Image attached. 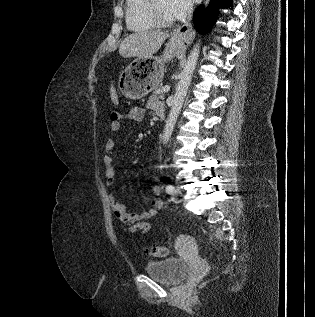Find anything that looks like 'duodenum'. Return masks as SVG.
Returning a JSON list of instances; mask_svg holds the SVG:
<instances>
[{
	"mask_svg": "<svg viewBox=\"0 0 315 317\" xmlns=\"http://www.w3.org/2000/svg\"><path fill=\"white\" fill-rule=\"evenodd\" d=\"M158 116L161 118V119H164L165 118V110H160L158 111Z\"/></svg>",
	"mask_w": 315,
	"mask_h": 317,
	"instance_id": "1",
	"label": "duodenum"
}]
</instances>
